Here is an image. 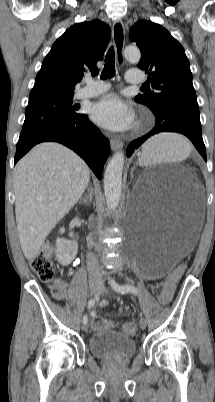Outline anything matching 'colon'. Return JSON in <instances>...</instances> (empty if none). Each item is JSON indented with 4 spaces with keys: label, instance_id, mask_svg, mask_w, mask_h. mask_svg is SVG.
<instances>
[{
    "label": "colon",
    "instance_id": "obj_1",
    "mask_svg": "<svg viewBox=\"0 0 215 402\" xmlns=\"http://www.w3.org/2000/svg\"><path fill=\"white\" fill-rule=\"evenodd\" d=\"M32 270L36 275L46 283L51 282L54 279L53 264L50 258V249L45 247L40 253H38L30 262ZM184 271V265L178 266L170 275V277L163 283L162 289L159 292L160 301L163 304L169 302L173 296L175 283L180 278ZM56 297H61L62 290L59 286H56L53 290ZM111 325L109 321L103 319H94L92 322V328L94 330H100L107 328ZM123 331L128 335H135L137 333V326L133 322H126L122 326Z\"/></svg>",
    "mask_w": 215,
    "mask_h": 402
}]
</instances>
